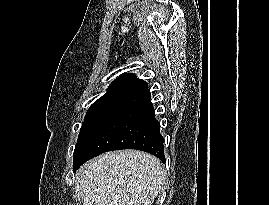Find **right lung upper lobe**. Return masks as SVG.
<instances>
[{"label":"right lung upper lobe","instance_id":"obj_1","mask_svg":"<svg viewBox=\"0 0 269 205\" xmlns=\"http://www.w3.org/2000/svg\"><path fill=\"white\" fill-rule=\"evenodd\" d=\"M151 98L147 83L134 74H122L109 86L108 91L92 106H122L128 108Z\"/></svg>","mask_w":269,"mask_h":205}]
</instances>
